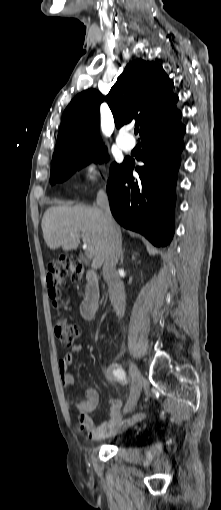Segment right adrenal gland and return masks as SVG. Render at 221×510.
Returning a JSON list of instances; mask_svg holds the SVG:
<instances>
[{"label": "right adrenal gland", "instance_id": "right-adrenal-gland-1", "mask_svg": "<svg viewBox=\"0 0 221 510\" xmlns=\"http://www.w3.org/2000/svg\"><path fill=\"white\" fill-rule=\"evenodd\" d=\"M123 260H124V249H123V251L121 252V263H123Z\"/></svg>", "mask_w": 221, "mask_h": 510}]
</instances>
